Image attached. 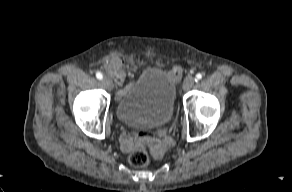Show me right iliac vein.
I'll list each match as a JSON object with an SVG mask.
<instances>
[{"mask_svg":"<svg viewBox=\"0 0 292 192\" xmlns=\"http://www.w3.org/2000/svg\"><path fill=\"white\" fill-rule=\"evenodd\" d=\"M102 84L108 90H111L113 88V83H112V81L108 77H104L102 79Z\"/></svg>","mask_w":292,"mask_h":192,"instance_id":"1","label":"right iliac vein"}]
</instances>
